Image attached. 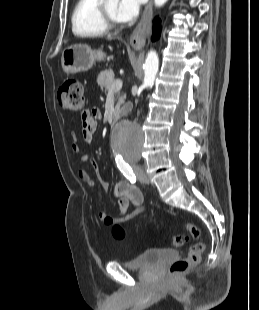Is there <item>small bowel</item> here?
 I'll return each mask as SVG.
<instances>
[{"mask_svg":"<svg viewBox=\"0 0 259 310\" xmlns=\"http://www.w3.org/2000/svg\"><path fill=\"white\" fill-rule=\"evenodd\" d=\"M101 118V112L98 108L93 107L85 110L81 114V131L83 140L87 143H91L94 140V135L97 128V121ZM71 148L74 152L81 150V142L77 134L71 135ZM80 167L78 170L79 178L86 183L89 187L95 186V181L89 173V164H92L96 168V163L90 154H82L79 159ZM113 196L119 200V215L112 217L106 212H100L98 217L104 225H110L116 222H124L131 220L143 212V195L140 189L128 182L119 181L113 188ZM129 206L133 208L128 210Z\"/></svg>","mask_w":259,"mask_h":310,"instance_id":"obj_1","label":"small bowel"}]
</instances>
